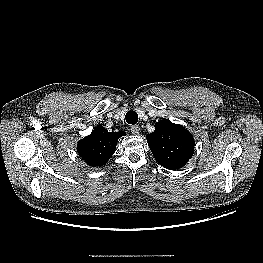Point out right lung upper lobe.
Here are the masks:
<instances>
[{"label": "right lung upper lobe", "instance_id": "right-lung-upper-lobe-1", "mask_svg": "<svg viewBox=\"0 0 263 263\" xmlns=\"http://www.w3.org/2000/svg\"><path fill=\"white\" fill-rule=\"evenodd\" d=\"M122 135L120 132H108L104 127L97 126L79 143L78 152L88 165L103 166L113 155L116 143Z\"/></svg>", "mask_w": 263, "mask_h": 263}]
</instances>
